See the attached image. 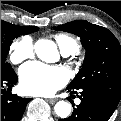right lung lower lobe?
<instances>
[{
	"instance_id": "98d812e1",
	"label": "right lung lower lobe",
	"mask_w": 121,
	"mask_h": 121,
	"mask_svg": "<svg viewBox=\"0 0 121 121\" xmlns=\"http://www.w3.org/2000/svg\"><path fill=\"white\" fill-rule=\"evenodd\" d=\"M18 77L13 69L1 71V88L8 86L1 95V121H19L31 98H21L11 93V88L17 83Z\"/></svg>"
}]
</instances>
